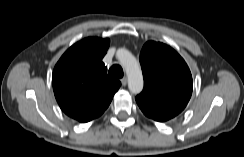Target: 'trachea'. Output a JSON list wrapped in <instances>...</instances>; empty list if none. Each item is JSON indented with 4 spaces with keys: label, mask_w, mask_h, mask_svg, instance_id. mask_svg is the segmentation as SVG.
Here are the masks:
<instances>
[{
    "label": "trachea",
    "mask_w": 244,
    "mask_h": 157,
    "mask_svg": "<svg viewBox=\"0 0 244 157\" xmlns=\"http://www.w3.org/2000/svg\"><path fill=\"white\" fill-rule=\"evenodd\" d=\"M109 75L114 78H122L123 77V69L120 65L114 64L109 69Z\"/></svg>",
    "instance_id": "trachea-1"
}]
</instances>
